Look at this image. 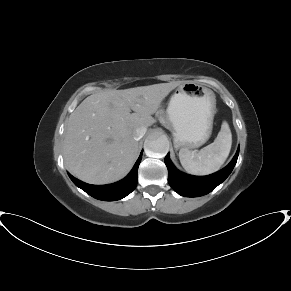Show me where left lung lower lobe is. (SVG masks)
<instances>
[{
  "label": "left lung lower lobe",
  "mask_w": 291,
  "mask_h": 291,
  "mask_svg": "<svg viewBox=\"0 0 291 291\" xmlns=\"http://www.w3.org/2000/svg\"><path fill=\"white\" fill-rule=\"evenodd\" d=\"M239 155L237 150L232 161L222 170L208 176H191L178 171L170 160L169 154L165 157L168 169V182L180 195L185 197H198L215 189L232 172Z\"/></svg>",
  "instance_id": "0a47b994"
}]
</instances>
